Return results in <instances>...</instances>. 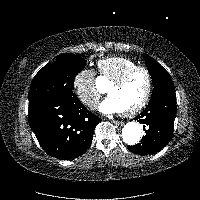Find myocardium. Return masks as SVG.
Segmentation results:
<instances>
[{"mask_svg":"<svg viewBox=\"0 0 200 200\" xmlns=\"http://www.w3.org/2000/svg\"><path fill=\"white\" fill-rule=\"evenodd\" d=\"M139 72H143L147 77V89H146L145 95L137 105H135L134 107L128 110L120 112L123 116L128 117V116H132L139 113L141 110L144 109V107L149 102L151 94H152V90H153V80H152V75L150 71L147 68L140 67V66L133 68L129 70L128 72H126L124 75H122L119 79L111 83L108 88V93H109L111 89L122 87L132 76H134L135 74Z\"/></svg>","mask_w":200,"mask_h":200,"instance_id":"1","label":"myocardium"}]
</instances>
